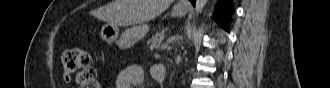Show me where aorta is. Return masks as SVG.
Wrapping results in <instances>:
<instances>
[{
  "label": "aorta",
  "mask_w": 330,
  "mask_h": 88,
  "mask_svg": "<svg viewBox=\"0 0 330 88\" xmlns=\"http://www.w3.org/2000/svg\"><path fill=\"white\" fill-rule=\"evenodd\" d=\"M207 4V0H196L195 4V14L198 16L204 9ZM188 38L190 39L192 36V28L187 32Z\"/></svg>",
  "instance_id": "obj_1"
}]
</instances>
